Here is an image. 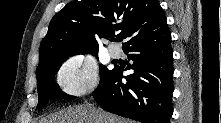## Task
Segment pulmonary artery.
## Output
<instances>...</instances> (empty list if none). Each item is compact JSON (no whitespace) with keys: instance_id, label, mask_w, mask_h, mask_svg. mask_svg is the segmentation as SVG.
<instances>
[{"instance_id":"pulmonary-artery-1","label":"pulmonary artery","mask_w":221,"mask_h":123,"mask_svg":"<svg viewBox=\"0 0 221 123\" xmlns=\"http://www.w3.org/2000/svg\"><path fill=\"white\" fill-rule=\"evenodd\" d=\"M108 52L112 58H119L121 55V50L116 46H109Z\"/></svg>"}]
</instances>
